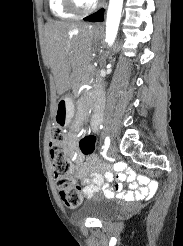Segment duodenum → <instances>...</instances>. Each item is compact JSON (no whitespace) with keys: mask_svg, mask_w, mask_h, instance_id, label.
Masks as SVG:
<instances>
[{"mask_svg":"<svg viewBox=\"0 0 183 246\" xmlns=\"http://www.w3.org/2000/svg\"><path fill=\"white\" fill-rule=\"evenodd\" d=\"M99 95H100V91H97L95 94L96 98H99Z\"/></svg>","mask_w":183,"mask_h":246,"instance_id":"duodenum-1","label":"duodenum"}]
</instances>
